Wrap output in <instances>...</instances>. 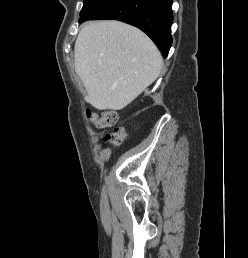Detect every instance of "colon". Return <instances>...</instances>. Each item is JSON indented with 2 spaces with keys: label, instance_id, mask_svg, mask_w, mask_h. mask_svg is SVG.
I'll return each instance as SVG.
<instances>
[{
  "label": "colon",
  "instance_id": "obj_1",
  "mask_svg": "<svg viewBox=\"0 0 248 258\" xmlns=\"http://www.w3.org/2000/svg\"><path fill=\"white\" fill-rule=\"evenodd\" d=\"M87 117L93 125L99 128L112 126L116 124L118 120V115L114 111H105L100 115L87 111ZM124 137V129L116 128L112 133H109L104 137V141L117 146L124 140Z\"/></svg>",
  "mask_w": 248,
  "mask_h": 258
}]
</instances>
